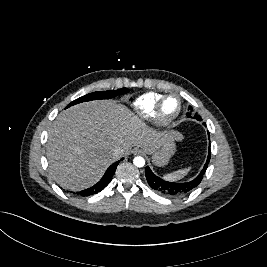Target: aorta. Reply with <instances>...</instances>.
I'll return each instance as SVG.
<instances>
[{
  "label": "aorta",
  "instance_id": "1",
  "mask_svg": "<svg viewBox=\"0 0 267 267\" xmlns=\"http://www.w3.org/2000/svg\"><path fill=\"white\" fill-rule=\"evenodd\" d=\"M133 163L136 167H143L145 165V159L141 156H136L133 159Z\"/></svg>",
  "mask_w": 267,
  "mask_h": 267
}]
</instances>
